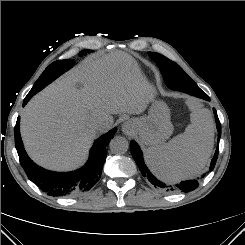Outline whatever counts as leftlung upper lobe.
Returning a JSON list of instances; mask_svg holds the SVG:
<instances>
[{"instance_id": "1", "label": "left lung upper lobe", "mask_w": 245, "mask_h": 245, "mask_svg": "<svg viewBox=\"0 0 245 245\" xmlns=\"http://www.w3.org/2000/svg\"><path fill=\"white\" fill-rule=\"evenodd\" d=\"M148 55L157 63L159 66L166 84L173 88L177 85L189 83L190 87H195L197 84L192 80L183 69L175 62L166 58L165 56L155 53L148 52Z\"/></svg>"}]
</instances>
